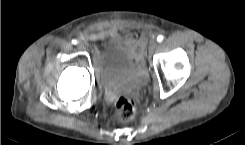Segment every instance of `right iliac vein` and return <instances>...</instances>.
Wrapping results in <instances>:
<instances>
[{"instance_id":"obj_1","label":"right iliac vein","mask_w":245,"mask_h":145,"mask_svg":"<svg viewBox=\"0 0 245 145\" xmlns=\"http://www.w3.org/2000/svg\"><path fill=\"white\" fill-rule=\"evenodd\" d=\"M77 47H78L80 50H82V49L85 48L84 44L81 43V42L77 43Z\"/></svg>"}]
</instances>
